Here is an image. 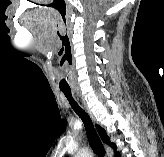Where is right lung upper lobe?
I'll list each match as a JSON object with an SVG mask.
<instances>
[{
    "instance_id": "obj_1",
    "label": "right lung upper lobe",
    "mask_w": 164,
    "mask_h": 157,
    "mask_svg": "<svg viewBox=\"0 0 164 157\" xmlns=\"http://www.w3.org/2000/svg\"><path fill=\"white\" fill-rule=\"evenodd\" d=\"M96 128H97L103 142L106 143V144H109L112 148L115 149L116 146L113 143L110 142V139L106 134V131L102 127H100L99 125H96Z\"/></svg>"
}]
</instances>
